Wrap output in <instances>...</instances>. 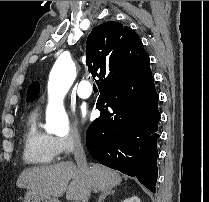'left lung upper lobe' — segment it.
<instances>
[{
    "label": "left lung upper lobe",
    "instance_id": "obj_1",
    "mask_svg": "<svg viewBox=\"0 0 209 202\" xmlns=\"http://www.w3.org/2000/svg\"><path fill=\"white\" fill-rule=\"evenodd\" d=\"M39 91H40L39 83L37 81L31 83L30 86L28 87L27 100L30 102L33 101L38 95Z\"/></svg>",
    "mask_w": 209,
    "mask_h": 202
}]
</instances>
